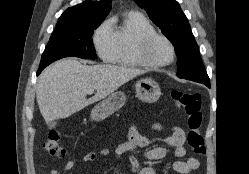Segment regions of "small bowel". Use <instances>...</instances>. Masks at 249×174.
Instances as JSON below:
<instances>
[{
  "instance_id": "small-bowel-1",
  "label": "small bowel",
  "mask_w": 249,
  "mask_h": 174,
  "mask_svg": "<svg viewBox=\"0 0 249 174\" xmlns=\"http://www.w3.org/2000/svg\"><path fill=\"white\" fill-rule=\"evenodd\" d=\"M154 131L161 130L160 124L153 125ZM150 143L146 136L139 133L137 127L132 125L128 132V140L120 144L114 151L110 149H102L100 152H89L81 160L71 159L61 169L53 168L50 170V174H68L76 166L83 163L95 161L100 156H107L113 152L115 158L120 160L124 154L133 152L138 148L148 146ZM165 143L173 149L174 157L177 159L173 162L172 168L179 174H191V172L199 168V161L196 158H189L185 161L180 160L186 156L185 143V132L177 126L172 127L171 134L165 138ZM167 150L165 147H154L147 150L143 156L146 160H160L165 158ZM130 162L132 170L136 174H156V170L153 167L145 166L140 167L138 159L131 156Z\"/></svg>"
}]
</instances>
